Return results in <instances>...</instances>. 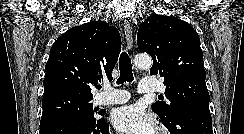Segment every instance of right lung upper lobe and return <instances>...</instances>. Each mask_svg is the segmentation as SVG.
I'll return each mask as SVG.
<instances>
[{
  "instance_id": "obj_1",
  "label": "right lung upper lobe",
  "mask_w": 244,
  "mask_h": 134,
  "mask_svg": "<svg viewBox=\"0 0 244 134\" xmlns=\"http://www.w3.org/2000/svg\"><path fill=\"white\" fill-rule=\"evenodd\" d=\"M120 50L119 31L104 21L71 28L50 49L43 100L62 96L92 100L90 86L106 76L112 79Z\"/></svg>"
}]
</instances>
